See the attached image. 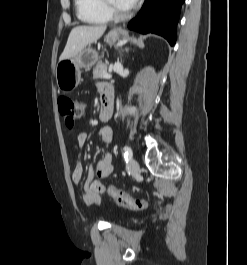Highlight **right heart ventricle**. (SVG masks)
I'll list each match as a JSON object with an SVG mask.
<instances>
[{"label": "right heart ventricle", "instance_id": "e07e8e85", "mask_svg": "<svg viewBox=\"0 0 247 265\" xmlns=\"http://www.w3.org/2000/svg\"><path fill=\"white\" fill-rule=\"evenodd\" d=\"M75 6L77 15L83 22L105 24L111 20L104 0H75Z\"/></svg>", "mask_w": 247, "mask_h": 265}]
</instances>
